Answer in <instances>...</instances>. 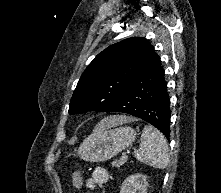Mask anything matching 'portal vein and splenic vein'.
<instances>
[{
	"instance_id": "obj_1",
	"label": "portal vein and splenic vein",
	"mask_w": 221,
	"mask_h": 193,
	"mask_svg": "<svg viewBox=\"0 0 221 193\" xmlns=\"http://www.w3.org/2000/svg\"><path fill=\"white\" fill-rule=\"evenodd\" d=\"M137 151H134V153H136ZM123 157H126V155H124Z\"/></svg>"
}]
</instances>
